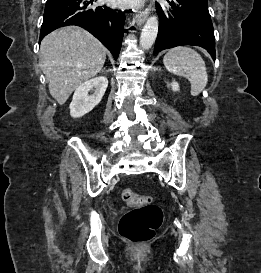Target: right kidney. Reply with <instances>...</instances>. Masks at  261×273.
<instances>
[{
	"instance_id": "obj_1",
	"label": "right kidney",
	"mask_w": 261,
	"mask_h": 273,
	"mask_svg": "<svg viewBox=\"0 0 261 273\" xmlns=\"http://www.w3.org/2000/svg\"><path fill=\"white\" fill-rule=\"evenodd\" d=\"M108 86L105 76L95 77L82 83L74 92L70 104V115L73 118H80L93 110L97 106ZM93 91L91 95L89 92Z\"/></svg>"
}]
</instances>
